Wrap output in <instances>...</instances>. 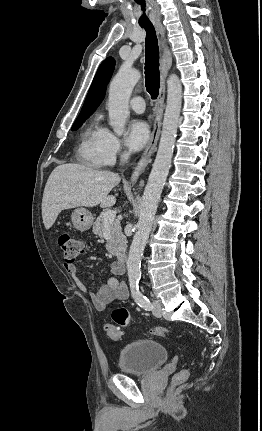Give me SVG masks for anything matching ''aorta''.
Segmentation results:
<instances>
[{
  "mask_svg": "<svg viewBox=\"0 0 262 431\" xmlns=\"http://www.w3.org/2000/svg\"><path fill=\"white\" fill-rule=\"evenodd\" d=\"M141 77L138 70L123 65L109 87V124L117 135H122L129 116V99ZM182 106V86L177 75L167 80V104L164 113L160 143L155 161L145 186L136 233L133 237L127 270L130 285L141 278V259L157 211L160 196L171 167V161Z\"/></svg>",
  "mask_w": 262,
  "mask_h": 431,
  "instance_id": "obj_1",
  "label": "aorta"
}]
</instances>
